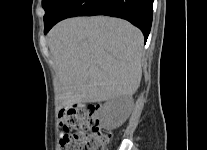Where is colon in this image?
<instances>
[{
    "label": "colon",
    "mask_w": 207,
    "mask_h": 150,
    "mask_svg": "<svg viewBox=\"0 0 207 150\" xmlns=\"http://www.w3.org/2000/svg\"><path fill=\"white\" fill-rule=\"evenodd\" d=\"M60 125L67 132L60 140L62 150H106L112 133L100 126L98 109H64L59 113Z\"/></svg>",
    "instance_id": "1"
}]
</instances>
